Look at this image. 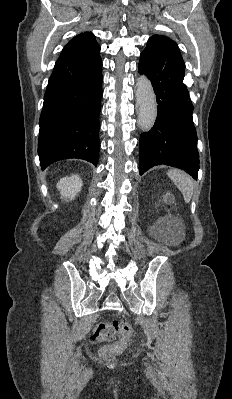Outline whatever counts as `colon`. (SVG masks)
Segmentation results:
<instances>
[{"instance_id": "obj_1", "label": "colon", "mask_w": 232, "mask_h": 399, "mask_svg": "<svg viewBox=\"0 0 232 399\" xmlns=\"http://www.w3.org/2000/svg\"><path fill=\"white\" fill-rule=\"evenodd\" d=\"M131 321H100L99 326H94L97 341H103V347H112V341H119L122 328H131ZM102 358H113V351H102Z\"/></svg>"}]
</instances>
